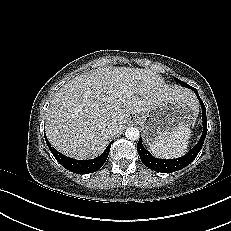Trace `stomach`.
Returning a JSON list of instances; mask_svg holds the SVG:
<instances>
[{"label": "stomach", "mask_w": 231, "mask_h": 231, "mask_svg": "<svg viewBox=\"0 0 231 231\" xmlns=\"http://www.w3.org/2000/svg\"><path fill=\"white\" fill-rule=\"evenodd\" d=\"M190 119V110L185 103L174 100L163 101L152 110L136 116L148 145L170 136L181 126H188Z\"/></svg>", "instance_id": "stomach-1"}]
</instances>
